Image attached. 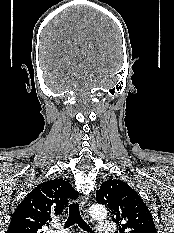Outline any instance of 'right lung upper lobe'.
<instances>
[{"instance_id":"cb5924a9","label":"right lung upper lobe","mask_w":174,"mask_h":233,"mask_svg":"<svg viewBox=\"0 0 174 233\" xmlns=\"http://www.w3.org/2000/svg\"><path fill=\"white\" fill-rule=\"evenodd\" d=\"M78 193L65 180H50L35 187L11 216L7 233H42L47 221L62 214Z\"/></svg>"}]
</instances>
